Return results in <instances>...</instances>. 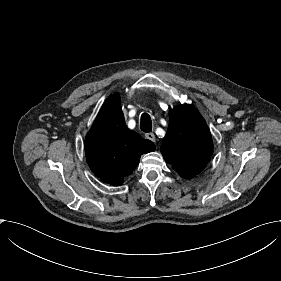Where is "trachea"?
Masks as SVG:
<instances>
[{
    "mask_svg": "<svg viewBox=\"0 0 281 281\" xmlns=\"http://www.w3.org/2000/svg\"><path fill=\"white\" fill-rule=\"evenodd\" d=\"M140 128L142 131L149 133L152 131V120L147 113L141 115Z\"/></svg>",
    "mask_w": 281,
    "mask_h": 281,
    "instance_id": "3493384b",
    "label": "trachea"
}]
</instances>
